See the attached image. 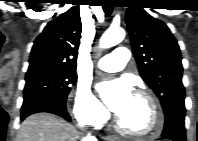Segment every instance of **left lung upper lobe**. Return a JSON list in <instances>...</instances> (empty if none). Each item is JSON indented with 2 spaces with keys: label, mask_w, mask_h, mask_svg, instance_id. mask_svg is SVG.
Instances as JSON below:
<instances>
[{
  "label": "left lung upper lobe",
  "mask_w": 198,
  "mask_h": 141,
  "mask_svg": "<svg viewBox=\"0 0 198 141\" xmlns=\"http://www.w3.org/2000/svg\"><path fill=\"white\" fill-rule=\"evenodd\" d=\"M126 24L140 75L159 97L165 116L185 107L180 49L167 25L150 16L140 3L128 7Z\"/></svg>",
  "instance_id": "1"
}]
</instances>
